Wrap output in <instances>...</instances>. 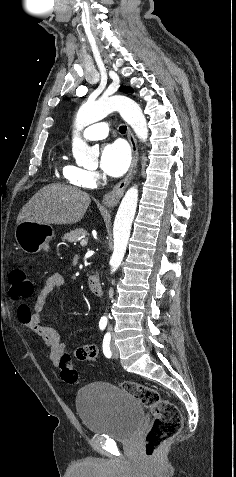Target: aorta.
Here are the masks:
<instances>
[{"label": "aorta", "mask_w": 236, "mask_h": 477, "mask_svg": "<svg viewBox=\"0 0 236 477\" xmlns=\"http://www.w3.org/2000/svg\"><path fill=\"white\" fill-rule=\"evenodd\" d=\"M114 111L120 113L121 117L132 127L142 142L147 140V121L140 106L134 100L122 95L101 98L93 103L82 105L78 110L75 121L76 131L72 140V152L76 159L82 162L97 159L99 150L88 146L81 139L79 131L89 124L105 118ZM137 202L138 188L137 186H132L125 193L114 221V248L110 259L111 272H115L118 269L124 258Z\"/></svg>", "instance_id": "obj_1"}]
</instances>
